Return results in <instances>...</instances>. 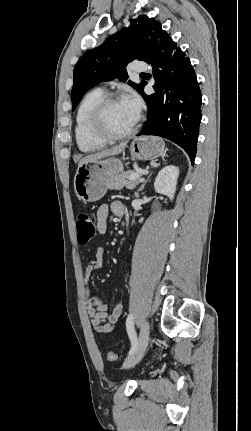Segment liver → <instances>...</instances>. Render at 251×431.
Here are the masks:
<instances>
[{"instance_id": "obj_1", "label": "liver", "mask_w": 251, "mask_h": 431, "mask_svg": "<svg viewBox=\"0 0 251 431\" xmlns=\"http://www.w3.org/2000/svg\"><path fill=\"white\" fill-rule=\"evenodd\" d=\"M127 146V142H122L119 145L111 148V149H105L102 150L100 152L97 153H93L90 155L85 156L83 159H81L78 163V167H80L81 165H83L86 162H90V161H96L105 157H109V156H113V155H118L121 152L124 151V149Z\"/></svg>"}]
</instances>
